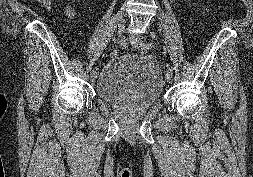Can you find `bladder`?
Returning a JSON list of instances; mask_svg holds the SVG:
<instances>
[{
	"label": "bladder",
	"mask_w": 253,
	"mask_h": 177,
	"mask_svg": "<svg viewBox=\"0 0 253 177\" xmlns=\"http://www.w3.org/2000/svg\"><path fill=\"white\" fill-rule=\"evenodd\" d=\"M164 80L153 58L132 54L113 57L95 81V94L107 103L134 100L150 107L163 96Z\"/></svg>",
	"instance_id": "1"
}]
</instances>
